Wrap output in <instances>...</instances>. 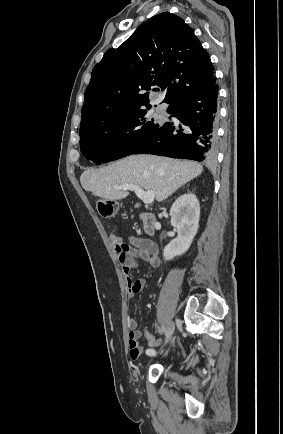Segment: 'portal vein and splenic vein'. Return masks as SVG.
<instances>
[{
	"mask_svg": "<svg viewBox=\"0 0 283 434\" xmlns=\"http://www.w3.org/2000/svg\"><path fill=\"white\" fill-rule=\"evenodd\" d=\"M120 190H132L135 191L136 195L142 199L145 204H152L155 198V193L153 191H144L137 185L124 184L117 187Z\"/></svg>",
	"mask_w": 283,
	"mask_h": 434,
	"instance_id": "18ae733b",
	"label": "portal vein and splenic vein"
}]
</instances>
